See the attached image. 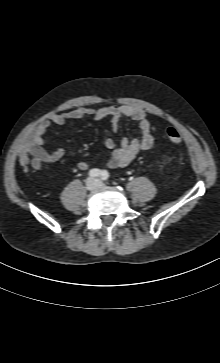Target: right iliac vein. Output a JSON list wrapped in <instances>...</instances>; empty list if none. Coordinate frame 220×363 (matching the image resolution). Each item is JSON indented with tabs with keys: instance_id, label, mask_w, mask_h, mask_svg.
Segmentation results:
<instances>
[{
	"instance_id": "obj_1",
	"label": "right iliac vein",
	"mask_w": 220,
	"mask_h": 363,
	"mask_svg": "<svg viewBox=\"0 0 220 363\" xmlns=\"http://www.w3.org/2000/svg\"><path fill=\"white\" fill-rule=\"evenodd\" d=\"M96 187H97L96 180H94L92 178L87 179V181H86V188L88 190H94Z\"/></svg>"
}]
</instances>
